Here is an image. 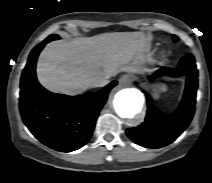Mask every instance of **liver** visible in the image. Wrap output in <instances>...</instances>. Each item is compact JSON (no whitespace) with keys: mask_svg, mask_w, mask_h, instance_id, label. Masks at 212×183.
<instances>
[{"mask_svg":"<svg viewBox=\"0 0 212 183\" xmlns=\"http://www.w3.org/2000/svg\"><path fill=\"white\" fill-rule=\"evenodd\" d=\"M149 44L141 32L105 33L49 43L37 63L39 82L48 90L80 94L96 76L120 71L144 73Z\"/></svg>","mask_w":212,"mask_h":183,"instance_id":"1","label":"liver"}]
</instances>
